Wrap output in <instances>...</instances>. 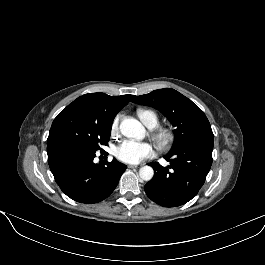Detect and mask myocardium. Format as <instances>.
Wrapping results in <instances>:
<instances>
[{"label":"myocardium","mask_w":265,"mask_h":265,"mask_svg":"<svg viewBox=\"0 0 265 265\" xmlns=\"http://www.w3.org/2000/svg\"><path fill=\"white\" fill-rule=\"evenodd\" d=\"M172 131L166 127H156L152 130L151 138L159 149H165L172 140Z\"/></svg>","instance_id":"1"}]
</instances>
